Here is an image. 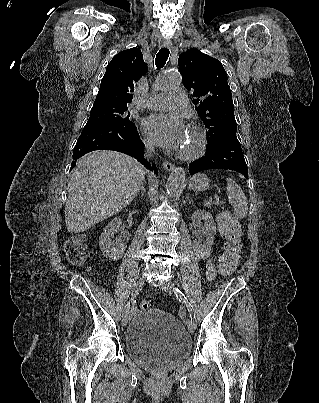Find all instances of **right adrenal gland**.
I'll return each instance as SVG.
<instances>
[{
	"label": "right adrenal gland",
	"mask_w": 319,
	"mask_h": 403,
	"mask_svg": "<svg viewBox=\"0 0 319 403\" xmlns=\"http://www.w3.org/2000/svg\"><path fill=\"white\" fill-rule=\"evenodd\" d=\"M140 192H142V193H145V192H146V191H145V185H144V182H142V184H141V186H140V188H139V190H138L137 194H139Z\"/></svg>",
	"instance_id": "right-adrenal-gland-1"
}]
</instances>
